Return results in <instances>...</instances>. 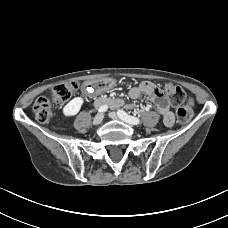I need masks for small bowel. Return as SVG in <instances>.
I'll use <instances>...</instances> for the list:
<instances>
[{
  "mask_svg": "<svg viewBox=\"0 0 228 228\" xmlns=\"http://www.w3.org/2000/svg\"><path fill=\"white\" fill-rule=\"evenodd\" d=\"M113 87V82L111 81H102L95 84H86L83 87V91L87 94H98L103 91L109 90ZM128 95L132 99H137L141 95H147L150 97V99L155 104L158 112L163 117V122L167 127L173 126L175 122L174 114L172 112L170 102L165 97L163 92L152 82L150 81H143L140 84L133 86L129 89ZM102 104H99L96 102V106H100ZM128 108H132V105H128Z\"/></svg>",
  "mask_w": 228,
  "mask_h": 228,
  "instance_id": "obj_1",
  "label": "small bowel"
}]
</instances>
